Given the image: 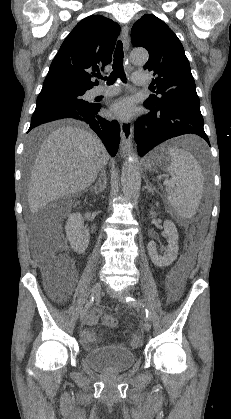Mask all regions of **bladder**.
Here are the masks:
<instances>
[{"label": "bladder", "instance_id": "1", "mask_svg": "<svg viewBox=\"0 0 231 419\" xmlns=\"http://www.w3.org/2000/svg\"><path fill=\"white\" fill-rule=\"evenodd\" d=\"M84 360L91 369L107 374L128 371L137 362V356L124 346L110 344L85 352Z\"/></svg>", "mask_w": 231, "mask_h": 419}]
</instances>
